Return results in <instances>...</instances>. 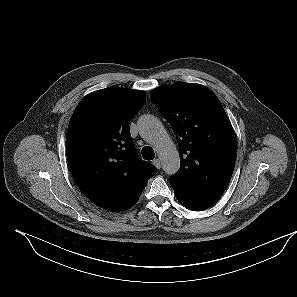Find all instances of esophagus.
<instances>
[{"instance_id": "obj_1", "label": "esophagus", "mask_w": 297, "mask_h": 297, "mask_svg": "<svg viewBox=\"0 0 297 297\" xmlns=\"http://www.w3.org/2000/svg\"><path fill=\"white\" fill-rule=\"evenodd\" d=\"M153 165L157 168L160 169L161 168V161L160 159L156 158L153 160Z\"/></svg>"}]
</instances>
